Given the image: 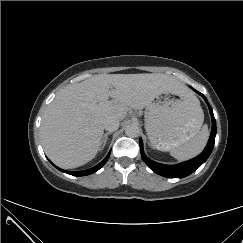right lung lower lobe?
I'll list each match as a JSON object with an SVG mask.
<instances>
[{"instance_id":"obj_1","label":"right lung lower lobe","mask_w":243,"mask_h":243,"mask_svg":"<svg viewBox=\"0 0 243 243\" xmlns=\"http://www.w3.org/2000/svg\"><path fill=\"white\" fill-rule=\"evenodd\" d=\"M109 156H110V152L105 157V159L102 162H100L98 165H96L95 167H93L91 169H87V170H83V171H65V170H62L58 167H56V168H58L62 172H65V173L73 175V176H86V175H90V174L98 171L107 162Z\"/></svg>"}]
</instances>
